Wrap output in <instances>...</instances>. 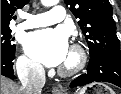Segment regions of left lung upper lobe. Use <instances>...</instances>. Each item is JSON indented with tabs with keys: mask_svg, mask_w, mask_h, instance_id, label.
<instances>
[{
	"mask_svg": "<svg viewBox=\"0 0 121 94\" xmlns=\"http://www.w3.org/2000/svg\"><path fill=\"white\" fill-rule=\"evenodd\" d=\"M71 12L79 18V26L86 37L90 57L121 55L116 35L113 9L109 0H64Z\"/></svg>",
	"mask_w": 121,
	"mask_h": 94,
	"instance_id": "left-lung-upper-lobe-1",
	"label": "left lung upper lobe"
}]
</instances>
